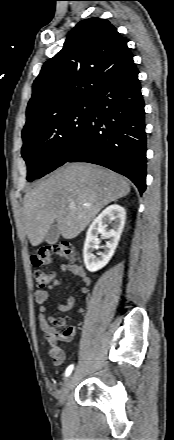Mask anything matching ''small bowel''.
<instances>
[{
	"label": "small bowel",
	"mask_w": 174,
	"mask_h": 440,
	"mask_svg": "<svg viewBox=\"0 0 174 440\" xmlns=\"http://www.w3.org/2000/svg\"><path fill=\"white\" fill-rule=\"evenodd\" d=\"M62 272H69L72 275L80 279L83 286L81 292L85 293L91 281L81 265L75 263H62L60 265ZM62 283L61 279L55 280L50 288L59 286ZM49 292L47 289H38L35 292V301L38 304V317L40 320V327L43 330L48 342H49V355L53 358L55 365H61L65 360L64 352L57 346L56 341L53 339V330L50 328L47 321V308L45 306L48 300ZM76 304V298L71 296L67 299L66 303H59L56 308L60 312H66L71 310ZM84 309L78 308L77 312L82 313ZM53 319V318H51Z\"/></svg>",
	"instance_id": "1"
}]
</instances>
